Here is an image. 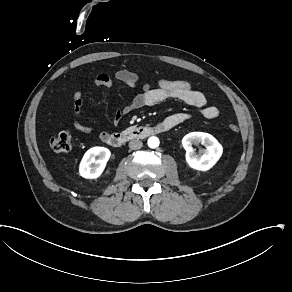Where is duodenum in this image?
Here are the masks:
<instances>
[{
    "mask_svg": "<svg viewBox=\"0 0 292 292\" xmlns=\"http://www.w3.org/2000/svg\"><path fill=\"white\" fill-rule=\"evenodd\" d=\"M169 127L157 125L155 127L138 128L127 133H113L106 138L108 144L114 148H120L128 139H144L151 135L166 132Z\"/></svg>",
    "mask_w": 292,
    "mask_h": 292,
    "instance_id": "obj_1",
    "label": "duodenum"
}]
</instances>
